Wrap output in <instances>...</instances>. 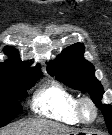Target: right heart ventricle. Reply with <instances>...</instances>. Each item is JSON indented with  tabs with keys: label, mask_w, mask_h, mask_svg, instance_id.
Listing matches in <instances>:
<instances>
[{
	"label": "right heart ventricle",
	"mask_w": 112,
	"mask_h": 135,
	"mask_svg": "<svg viewBox=\"0 0 112 135\" xmlns=\"http://www.w3.org/2000/svg\"><path fill=\"white\" fill-rule=\"evenodd\" d=\"M76 104L77 97L58 83L40 88L32 100L35 113L71 126L81 123L76 113Z\"/></svg>",
	"instance_id": "1"
}]
</instances>
